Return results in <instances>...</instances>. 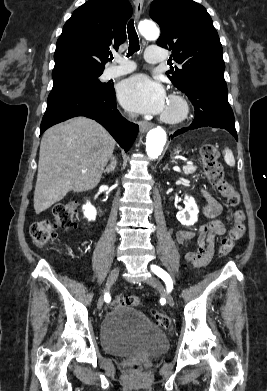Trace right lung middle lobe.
Returning a JSON list of instances; mask_svg holds the SVG:
<instances>
[{
  "mask_svg": "<svg viewBox=\"0 0 267 391\" xmlns=\"http://www.w3.org/2000/svg\"><path fill=\"white\" fill-rule=\"evenodd\" d=\"M103 73L88 72V73H70L53 77L52 91H57L69 87H85L91 89H106L109 84L102 83L99 76Z\"/></svg>",
  "mask_w": 267,
  "mask_h": 391,
  "instance_id": "1",
  "label": "right lung middle lobe"
}]
</instances>
